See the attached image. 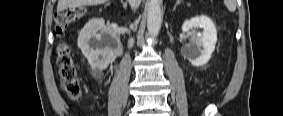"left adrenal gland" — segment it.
I'll return each instance as SVG.
<instances>
[{"label": "left adrenal gland", "instance_id": "obj_1", "mask_svg": "<svg viewBox=\"0 0 283 116\" xmlns=\"http://www.w3.org/2000/svg\"><path fill=\"white\" fill-rule=\"evenodd\" d=\"M180 2H181V1H179V0L176 1L175 6H174V8H173V11H174V10L176 9V7L180 4Z\"/></svg>", "mask_w": 283, "mask_h": 116}]
</instances>
